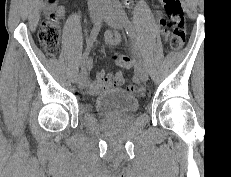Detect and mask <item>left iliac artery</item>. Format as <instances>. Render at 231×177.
I'll list each match as a JSON object with an SVG mask.
<instances>
[{
	"instance_id": "obj_1",
	"label": "left iliac artery",
	"mask_w": 231,
	"mask_h": 177,
	"mask_svg": "<svg viewBox=\"0 0 231 177\" xmlns=\"http://www.w3.org/2000/svg\"><path fill=\"white\" fill-rule=\"evenodd\" d=\"M116 8L119 11V13L121 14V17H122V20H123V23H124L127 34L132 39L133 56L135 57V59L139 63V66L143 67L144 66V63H143L144 59L142 58V56L140 54L139 41H136V34H135L134 27H133L132 23L130 22V20L128 19L122 5L121 4H116Z\"/></svg>"
}]
</instances>
